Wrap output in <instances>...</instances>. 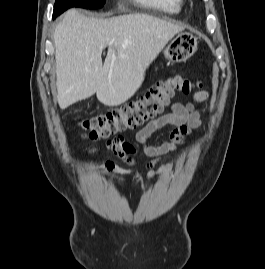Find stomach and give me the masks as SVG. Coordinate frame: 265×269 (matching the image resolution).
<instances>
[{"mask_svg": "<svg viewBox=\"0 0 265 269\" xmlns=\"http://www.w3.org/2000/svg\"><path fill=\"white\" fill-rule=\"evenodd\" d=\"M197 44V38L192 33L180 32L163 50V54L172 63L184 62L197 51Z\"/></svg>", "mask_w": 265, "mask_h": 269, "instance_id": "stomach-1", "label": "stomach"}]
</instances>
